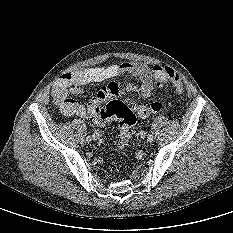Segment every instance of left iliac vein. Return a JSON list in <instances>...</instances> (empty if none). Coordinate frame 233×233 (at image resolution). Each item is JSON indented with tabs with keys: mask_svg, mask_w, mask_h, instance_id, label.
Instances as JSON below:
<instances>
[{
	"mask_svg": "<svg viewBox=\"0 0 233 233\" xmlns=\"http://www.w3.org/2000/svg\"><path fill=\"white\" fill-rule=\"evenodd\" d=\"M139 136L140 137H145L146 136V131L145 130H140L139 131Z\"/></svg>",
	"mask_w": 233,
	"mask_h": 233,
	"instance_id": "1",
	"label": "left iliac vein"
}]
</instances>
